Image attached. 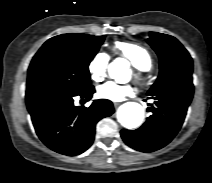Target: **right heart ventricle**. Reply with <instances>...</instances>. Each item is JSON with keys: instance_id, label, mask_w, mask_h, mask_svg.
<instances>
[{"instance_id": "obj_1", "label": "right heart ventricle", "mask_w": 212, "mask_h": 183, "mask_svg": "<svg viewBox=\"0 0 212 183\" xmlns=\"http://www.w3.org/2000/svg\"><path fill=\"white\" fill-rule=\"evenodd\" d=\"M112 51L126 58L133 66L141 70H149L153 65L150 52L139 43L117 41L113 44Z\"/></svg>"}]
</instances>
